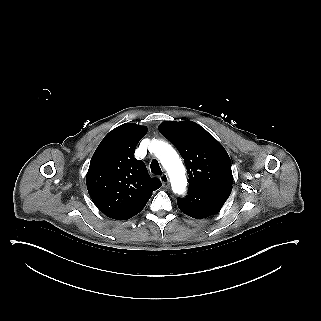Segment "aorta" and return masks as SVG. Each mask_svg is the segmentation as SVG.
I'll use <instances>...</instances> for the list:
<instances>
[{
    "label": "aorta",
    "mask_w": 321,
    "mask_h": 321,
    "mask_svg": "<svg viewBox=\"0 0 321 321\" xmlns=\"http://www.w3.org/2000/svg\"><path fill=\"white\" fill-rule=\"evenodd\" d=\"M151 146L170 177L173 192L179 195L183 194L186 189L187 180L185 168L179 155L171 145L163 141H154Z\"/></svg>",
    "instance_id": "1"
}]
</instances>
